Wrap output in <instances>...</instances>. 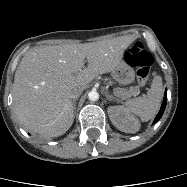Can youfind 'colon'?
I'll list each match as a JSON object with an SVG mask.
<instances>
[{"instance_id": "1", "label": "colon", "mask_w": 187, "mask_h": 187, "mask_svg": "<svg viewBox=\"0 0 187 187\" xmlns=\"http://www.w3.org/2000/svg\"><path fill=\"white\" fill-rule=\"evenodd\" d=\"M126 61L137 68V81L140 86H144L150 75V67L153 63L152 55L145 49L144 45L136 42L126 52Z\"/></svg>"}]
</instances>
